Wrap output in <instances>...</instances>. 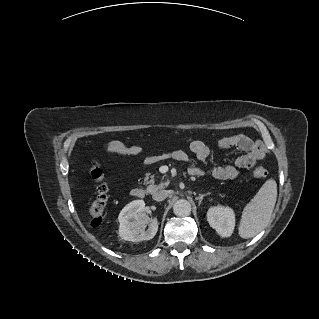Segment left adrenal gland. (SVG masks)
I'll use <instances>...</instances> for the list:
<instances>
[{
    "instance_id": "left-adrenal-gland-1",
    "label": "left adrenal gland",
    "mask_w": 319,
    "mask_h": 319,
    "mask_svg": "<svg viewBox=\"0 0 319 319\" xmlns=\"http://www.w3.org/2000/svg\"><path fill=\"white\" fill-rule=\"evenodd\" d=\"M209 194V192L205 194H199V196L196 197V199L199 201V204L202 202L203 198Z\"/></svg>"
}]
</instances>
